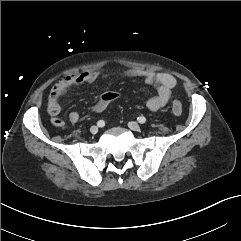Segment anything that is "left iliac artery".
Instances as JSON below:
<instances>
[{
    "label": "left iliac artery",
    "instance_id": "44dca946",
    "mask_svg": "<svg viewBox=\"0 0 241 241\" xmlns=\"http://www.w3.org/2000/svg\"><path fill=\"white\" fill-rule=\"evenodd\" d=\"M137 120H138V122L141 123V124H143V123L146 122V118H145L144 116L138 117Z\"/></svg>",
    "mask_w": 241,
    "mask_h": 241
}]
</instances>
